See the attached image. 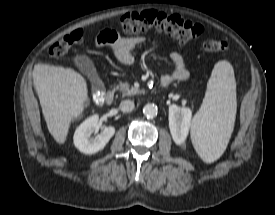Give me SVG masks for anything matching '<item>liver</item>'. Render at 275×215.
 Returning a JSON list of instances; mask_svg holds the SVG:
<instances>
[{"label": "liver", "instance_id": "liver-1", "mask_svg": "<svg viewBox=\"0 0 275 215\" xmlns=\"http://www.w3.org/2000/svg\"><path fill=\"white\" fill-rule=\"evenodd\" d=\"M32 76L48 131L63 144L72 120L82 114L88 100L86 81L71 68L40 63Z\"/></svg>", "mask_w": 275, "mask_h": 215}]
</instances>
